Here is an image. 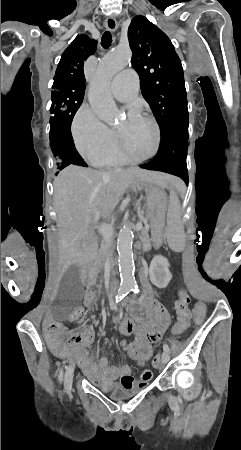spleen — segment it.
Segmentation results:
<instances>
[{"instance_id":"spleen-1","label":"spleen","mask_w":241,"mask_h":450,"mask_svg":"<svg viewBox=\"0 0 241 450\" xmlns=\"http://www.w3.org/2000/svg\"><path fill=\"white\" fill-rule=\"evenodd\" d=\"M170 200L172 202L171 209L172 211H181L182 204L178 200V196L174 190L170 192ZM168 225L169 228L167 230L168 238H169V248L171 253H180L183 250V242L185 241L183 238L185 237L186 230L182 228V219L181 215L178 212H169L168 213Z\"/></svg>"}]
</instances>
